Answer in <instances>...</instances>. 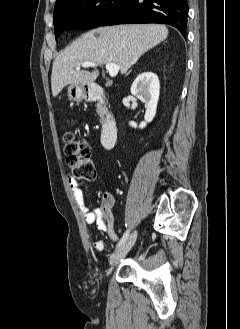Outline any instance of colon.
<instances>
[{
	"label": "colon",
	"instance_id": "obj_1",
	"mask_svg": "<svg viewBox=\"0 0 240 329\" xmlns=\"http://www.w3.org/2000/svg\"><path fill=\"white\" fill-rule=\"evenodd\" d=\"M64 141V153L74 177L85 181L94 180L96 169L87 143L77 138L73 133H66Z\"/></svg>",
	"mask_w": 240,
	"mask_h": 329
}]
</instances>
